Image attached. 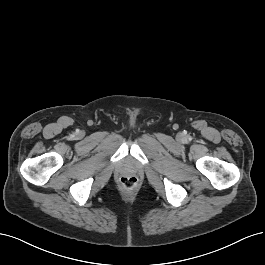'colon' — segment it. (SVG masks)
<instances>
[{"mask_svg": "<svg viewBox=\"0 0 265 265\" xmlns=\"http://www.w3.org/2000/svg\"><path fill=\"white\" fill-rule=\"evenodd\" d=\"M121 184L128 189H132L136 185V178L133 176L122 177Z\"/></svg>", "mask_w": 265, "mask_h": 265, "instance_id": "obj_1", "label": "colon"}]
</instances>
